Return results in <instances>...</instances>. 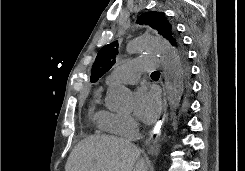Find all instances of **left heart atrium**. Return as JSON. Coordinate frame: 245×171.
<instances>
[{
    "label": "left heart atrium",
    "mask_w": 245,
    "mask_h": 171,
    "mask_svg": "<svg viewBox=\"0 0 245 171\" xmlns=\"http://www.w3.org/2000/svg\"><path fill=\"white\" fill-rule=\"evenodd\" d=\"M161 110L159 93L154 89L140 88L135 93V115L143 122L155 121Z\"/></svg>",
    "instance_id": "1"
}]
</instances>
